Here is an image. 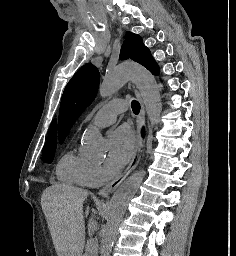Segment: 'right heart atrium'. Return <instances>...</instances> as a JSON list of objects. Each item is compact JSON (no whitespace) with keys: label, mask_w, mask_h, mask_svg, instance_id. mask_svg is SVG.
I'll list each match as a JSON object with an SVG mask.
<instances>
[{"label":"right heart atrium","mask_w":236,"mask_h":256,"mask_svg":"<svg viewBox=\"0 0 236 256\" xmlns=\"http://www.w3.org/2000/svg\"><path fill=\"white\" fill-rule=\"evenodd\" d=\"M109 178L107 169L101 163H92L83 172L82 183L84 186L96 188L103 185Z\"/></svg>","instance_id":"right-heart-atrium-1"}]
</instances>
